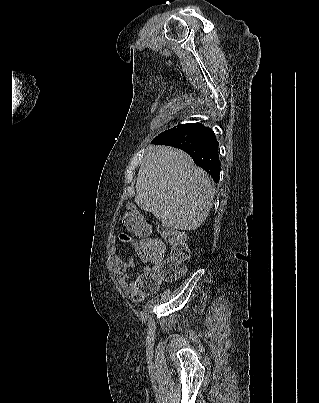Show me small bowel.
I'll return each instance as SVG.
<instances>
[{
    "label": "small bowel",
    "mask_w": 319,
    "mask_h": 403,
    "mask_svg": "<svg viewBox=\"0 0 319 403\" xmlns=\"http://www.w3.org/2000/svg\"><path fill=\"white\" fill-rule=\"evenodd\" d=\"M118 238L121 239V244L123 245L124 249H133L134 244L137 242L133 241V236L129 234L128 230H119L118 231ZM152 241H159L154 238L149 237ZM140 259L144 263H149L151 261L147 260L141 252H138ZM135 266L134 259L123 260L119 255L113 254L110 261V269L116 273L125 283L126 290L129 294H131L132 300H141L142 299V292L136 291V284L137 279L128 281L129 274L128 270ZM150 269L149 266H145L143 268V272H146Z\"/></svg>",
    "instance_id": "small-bowel-1"
}]
</instances>
